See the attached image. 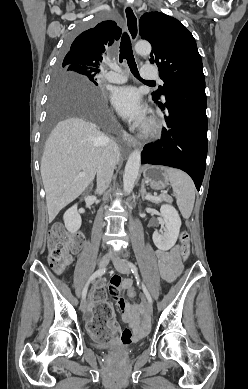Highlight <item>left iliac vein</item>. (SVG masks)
<instances>
[{
    "instance_id": "obj_1",
    "label": "left iliac vein",
    "mask_w": 248,
    "mask_h": 389,
    "mask_svg": "<svg viewBox=\"0 0 248 389\" xmlns=\"http://www.w3.org/2000/svg\"><path fill=\"white\" fill-rule=\"evenodd\" d=\"M113 264L118 272H120L122 274H129L130 273V268L126 264L125 261L120 260V259H116L113 261ZM147 313L149 315H152V313H153V306H152V303H150L149 301H147Z\"/></svg>"
}]
</instances>
